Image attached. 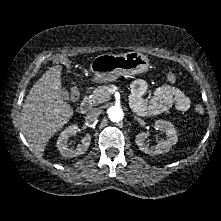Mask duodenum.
I'll return each instance as SVG.
<instances>
[{"mask_svg": "<svg viewBox=\"0 0 221 221\" xmlns=\"http://www.w3.org/2000/svg\"><path fill=\"white\" fill-rule=\"evenodd\" d=\"M92 107V103L88 97H85L81 104H80V112L85 114L87 113Z\"/></svg>", "mask_w": 221, "mask_h": 221, "instance_id": "obj_1", "label": "duodenum"}]
</instances>
